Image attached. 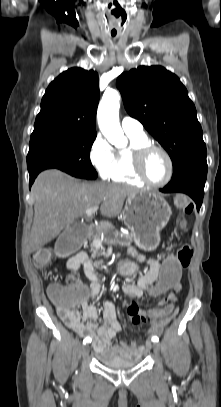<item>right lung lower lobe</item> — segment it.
Segmentation results:
<instances>
[{"instance_id": "obj_1", "label": "right lung lower lobe", "mask_w": 221, "mask_h": 407, "mask_svg": "<svg viewBox=\"0 0 221 407\" xmlns=\"http://www.w3.org/2000/svg\"><path fill=\"white\" fill-rule=\"evenodd\" d=\"M46 169H48V168H46ZM42 170H45V169H39V170H35V171H32V172L29 173V174H30V182H29L30 187H31L32 183L34 182L36 176H37V175L39 174V172H41Z\"/></svg>"}]
</instances>
